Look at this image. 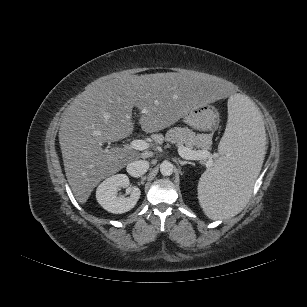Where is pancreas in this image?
Here are the masks:
<instances>
[{"instance_id":"1","label":"pancreas","mask_w":307,"mask_h":307,"mask_svg":"<svg viewBox=\"0 0 307 307\" xmlns=\"http://www.w3.org/2000/svg\"><path fill=\"white\" fill-rule=\"evenodd\" d=\"M154 140L158 143L163 141L172 144L185 145L190 149L207 150L210 146V141L205 134H196L187 127H174L167 131L165 136L155 135Z\"/></svg>"}]
</instances>
